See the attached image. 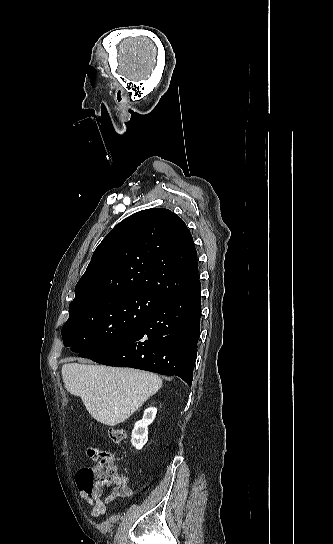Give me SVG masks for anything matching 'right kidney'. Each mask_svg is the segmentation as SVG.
Wrapping results in <instances>:
<instances>
[{
	"mask_svg": "<svg viewBox=\"0 0 333 544\" xmlns=\"http://www.w3.org/2000/svg\"><path fill=\"white\" fill-rule=\"evenodd\" d=\"M157 413V408L148 407L143 414V418L135 423L132 431L131 443L137 449L141 450L148 441V425H150Z\"/></svg>",
	"mask_w": 333,
	"mask_h": 544,
	"instance_id": "obj_1",
	"label": "right kidney"
}]
</instances>
